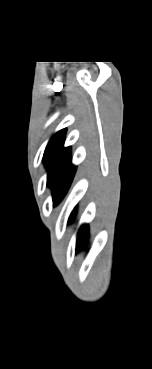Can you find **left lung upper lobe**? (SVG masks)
I'll use <instances>...</instances> for the list:
<instances>
[{"label":"left lung upper lobe","mask_w":152,"mask_h":369,"mask_svg":"<svg viewBox=\"0 0 152 369\" xmlns=\"http://www.w3.org/2000/svg\"><path fill=\"white\" fill-rule=\"evenodd\" d=\"M66 129L55 133L50 139L43 156L47 167V185L52 188L54 205L58 204L68 191L76 167L71 163V149L64 148Z\"/></svg>","instance_id":"5c2ea615"}]
</instances>
